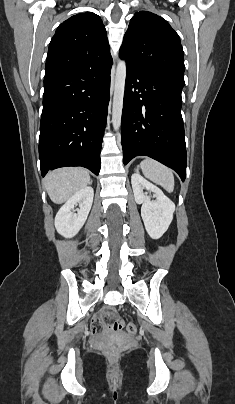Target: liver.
<instances>
[{"instance_id": "6515ba94", "label": "liver", "mask_w": 235, "mask_h": 404, "mask_svg": "<svg viewBox=\"0 0 235 404\" xmlns=\"http://www.w3.org/2000/svg\"><path fill=\"white\" fill-rule=\"evenodd\" d=\"M44 182L50 199L62 204L90 183V175L81 167H64L49 172Z\"/></svg>"}]
</instances>
